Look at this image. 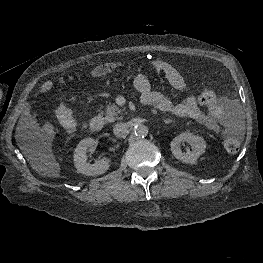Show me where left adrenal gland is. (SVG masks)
<instances>
[{
    "mask_svg": "<svg viewBox=\"0 0 263 263\" xmlns=\"http://www.w3.org/2000/svg\"><path fill=\"white\" fill-rule=\"evenodd\" d=\"M165 123H169L170 121L169 120H164Z\"/></svg>",
    "mask_w": 263,
    "mask_h": 263,
    "instance_id": "1",
    "label": "left adrenal gland"
}]
</instances>
